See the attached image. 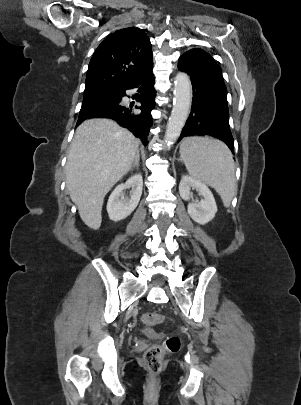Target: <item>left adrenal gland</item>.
I'll list each match as a JSON object with an SVG mask.
<instances>
[{
  "label": "left adrenal gland",
  "mask_w": 301,
  "mask_h": 405,
  "mask_svg": "<svg viewBox=\"0 0 301 405\" xmlns=\"http://www.w3.org/2000/svg\"><path fill=\"white\" fill-rule=\"evenodd\" d=\"M178 160H179V161H182V159H181V158H179Z\"/></svg>",
  "instance_id": "obj_1"
}]
</instances>
